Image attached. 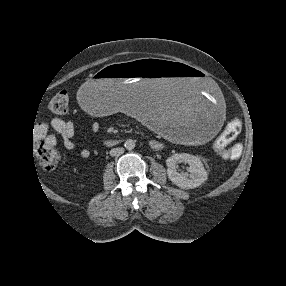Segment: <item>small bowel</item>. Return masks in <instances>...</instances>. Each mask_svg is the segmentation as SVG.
Segmentation results:
<instances>
[{"instance_id":"small-bowel-1","label":"small bowel","mask_w":286,"mask_h":286,"mask_svg":"<svg viewBox=\"0 0 286 286\" xmlns=\"http://www.w3.org/2000/svg\"><path fill=\"white\" fill-rule=\"evenodd\" d=\"M100 128L101 127L98 122H94L91 125V130L95 133L99 132ZM50 131H53L54 133ZM75 131L76 128L73 122L55 118L49 122L37 124L34 129V136L38 139H45L49 145L54 146L57 144V134L61 137L64 148L68 151H73L76 149V145L73 140ZM241 151V146L239 144H235L229 149L228 156L233 160L238 159L241 155ZM79 155L83 159H87L90 157L91 152L89 149L83 148L79 151Z\"/></svg>"}]
</instances>
